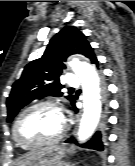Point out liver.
<instances>
[{
    "label": "liver",
    "mask_w": 135,
    "mask_h": 166,
    "mask_svg": "<svg viewBox=\"0 0 135 166\" xmlns=\"http://www.w3.org/2000/svg\"><path fill=\"white\" fill-rule=\"evenodd\" d=\"M27 164V161L24 160V161H20L17 163V166H25Z\"/></svg>",
    "instance_id": "6515ba94"
}]
</instances>
